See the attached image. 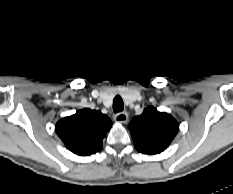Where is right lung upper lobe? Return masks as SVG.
<instances>
[{
    "label": "right lung upper lobe",
    "instance_id": "obj_1",
    "mask_svg": "<svg viewBox=\"0 0 233 194\" xmlns=\"http://www.w3.org/2000/svg\"><path fill=\"white\" fill-rule=\"evenodd\" d=\"M111 125L107 115L84 108L60 120L56 132L67 149L79 156H88L101 150L103 137Z\"/></svg>",
    "mask_w": 233,
    "mask_h": 194
}]
</instances>
